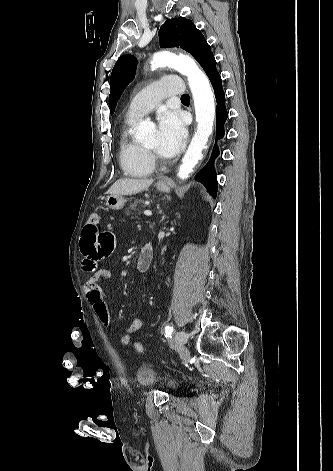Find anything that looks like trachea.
<instances>
[{
	"label": "trachea",
	"instance_id": "3493384b",
	"mask_svg": "<svg viewBox=\"0 0 333 471\" xmlns=\"http://www.w3.org/2000/svg\"><path fill=\"white\" fill-rule=\"evenodd\" d=\"M181 99H182V100H188V99H189V95H188V94H183V95L181 96Z\"/></svg>",
	"mask_w": 333,
	"mask_h": 471
}]
</instances>
